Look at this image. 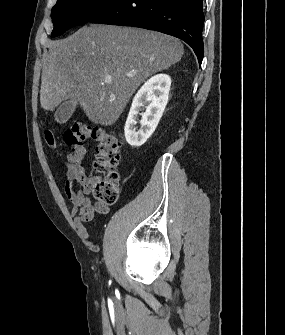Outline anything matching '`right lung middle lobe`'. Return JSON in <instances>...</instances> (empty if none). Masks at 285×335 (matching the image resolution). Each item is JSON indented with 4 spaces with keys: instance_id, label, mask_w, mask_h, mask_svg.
I'll return each instance as SVG.
<instances>
[{
    "instance_id": "dd1d6c3e",
    "label": "right lung middle lobe",
    "mask_w": 285,
    "mask_h": 335,
    "mask_svg": "<svg viewBox=\"0 0 285 335\" xmlns=\"http://www.w3.org/2000/svg\"><path fill=\"white\" fill-rule=\"evenodd\" d=\"M119 0H57L52 9L54 29L51 37H57L66 30L88 22Z\"/></svg>"
}]
</instances>
